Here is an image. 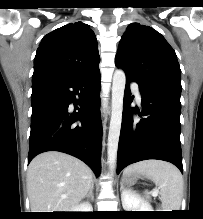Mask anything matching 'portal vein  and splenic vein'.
Masks as SVG:
<instances>
[{"instance_id": "obj_1", "label": "portal vein and splenic vein", "mask_w": 203, "mask_h": 219, "mask_svg": "<svg viewBox=\"0 0 203 219\" xmlns=\"http://www.w3.org/2000/svg\"><path fill=\"white\" fill-rule=\"evenodd\" d=\"M152 195H153V196H157V195H158V190L155 189V190L152 192Z\"/></svg>"}]
</instances>
